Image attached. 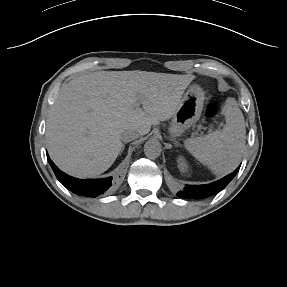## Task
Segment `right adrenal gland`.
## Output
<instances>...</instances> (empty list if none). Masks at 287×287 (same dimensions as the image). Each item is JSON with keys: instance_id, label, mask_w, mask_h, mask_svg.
<instances>
[{"instance_id": "obj_1", "label": "right adrenal gland", "mask_w": 287, "mask_h": 287, "mask_svg": "<svg viewBox=\"0 0 287 287\" xmlns=\"http://www.w3.org/2000/svg\"><path fill=\"white\" fill-rule=\"evenodd\" d=\"M124 148H125V145H123V149H122V151L124 150Z\"/></svg>"}]
</instances>
